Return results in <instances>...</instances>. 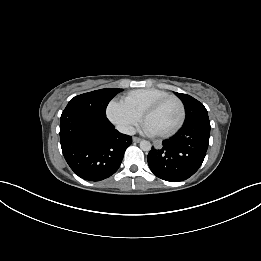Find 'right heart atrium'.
Listing matches in <instances>:
<instances>
[{"label": "right heart atrium", "instance_id": "right-heart-atrium-1", "mask_svg": "<svg viewBox=\"0 0 261 261\" xmlns=\"http://www.w3.org/2000/svg\"><path fill=\"white\" fill-rule=\"evenodd\" d=\"M106 114L108 119L126 134L132 133L140 121V115L121 100H112L107 106Z\"/></svg>", "mask_w": 261, "mask_h": 261}]
</instances>
